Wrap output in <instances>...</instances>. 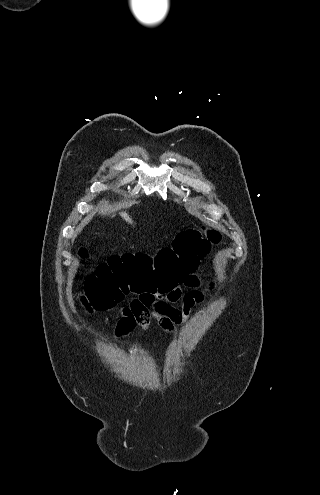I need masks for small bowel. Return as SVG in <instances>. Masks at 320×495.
<instances>
[{
  "label": "small bowel",
  "mask_w": 320,
  "mask_h": 495,
  "mask_svg": "<svg viewBox=\"0 0 320 495\" xmlns=\"http://www.w3.org/2000/svg\"><path fill=\"white\" fill-rule=\"evenodd\" d=\"M200 278L192 273H185L182 281L165 292H143L131 299L128 306L121 310L116 324V333L125 335L136 326L147 330L152 319L168 332L187 321L192 309L204 301V294L199 289ZM180 285L190 289L184 294ZM181 301L180 308L174 304Z\"/></svg>",
  "instance_id": "c3829d8e"
}]
</instances>
